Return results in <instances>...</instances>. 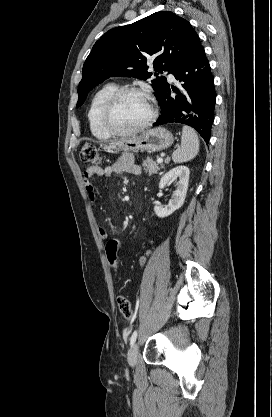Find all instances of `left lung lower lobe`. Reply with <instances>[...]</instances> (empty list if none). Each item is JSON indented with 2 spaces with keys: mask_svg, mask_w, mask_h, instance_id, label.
<instances>
[{
  "mask_svg": "<svg viewBox=\"0 0 272 417\" xmlns=\"http://www.w3.org/2000/svg\"><path fill=\"white\" fill-rule=\"evenodd\" d=\"M171 73L181 85L179 89L167 85L158 100L162 113L153 125L186 124L196 129L205 142H209L216 93L203 46L182 60ZM172 90L177 93L175 98L170 97Z\"/></svg>",
  "mask_w": 272,
  "mask_h": 417,
  "instance_id": "left-lung-lower-lobe-1",
  "label": "left lung lower lobe"
}]
</instances>
